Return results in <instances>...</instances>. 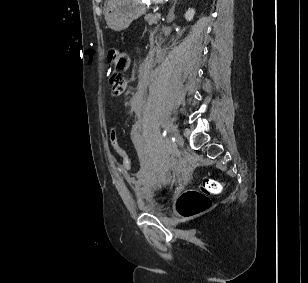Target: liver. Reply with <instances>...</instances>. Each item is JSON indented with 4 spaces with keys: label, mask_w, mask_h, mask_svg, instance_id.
I'll list each match as a JSON object with an SVG mask.
<instances>
[{
    "label": "liver",
    "mask_w": 308,
    "mask_h": 283,
    "mask_svg": "<svg viewBox=\"0 0 308 283\" xmlns=\"http://www.w3.org/2000/svg\"><path fill=\"white\" fill-rule=\"evenodd\" d=\"M111 2H113V0H108V4H110ZM108 4H107V5H108Z\"/></svg>",
    "instance_id": "obj_1"
}]
</instances>
